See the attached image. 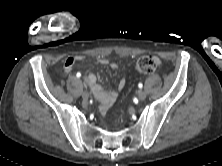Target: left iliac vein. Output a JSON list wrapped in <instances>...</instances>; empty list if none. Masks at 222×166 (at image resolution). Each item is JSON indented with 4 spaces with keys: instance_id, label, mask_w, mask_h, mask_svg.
<instances>
[{
    "instance_id": "obj_1",
    "label": "left iliac vein",
    "mask_w": 222,
    "mask_h": 166,
    "mask_svg": "<svg viewBox=\"0 0 222 166\" xmlns=\"http://www.w3.org/2000/svg\"><path fill=\"white\" fill-rule=\"evenodd\" d=\"M138 98L139 100H144L146 98V93L143 90H140L138 92Z\"/></svg>"
}]
</instances>
